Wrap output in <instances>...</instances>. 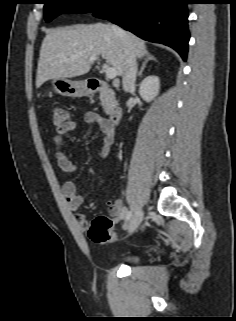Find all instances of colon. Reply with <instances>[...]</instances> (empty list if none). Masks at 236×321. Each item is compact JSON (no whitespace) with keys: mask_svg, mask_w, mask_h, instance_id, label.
Wrapping results in <instances>:
<instances>
[{"mask_svg":"<svg viewBox=\"0 0 236 321\" xmlns=\"http://www.w3.org/2000/svg\"><path fill=\"white\" fill-rule=\"evenodd\" d=\"M53 123L60 126L67 121V112L60 106H54L52 109ZM113 220L110 217L100 215L92 220L87 227L89 238L99 244L114 242L117 234L113 230Z\"/></svg>","mask_w":236,"mask_h":321,"instance_id":"colon-1","label":"colon"}]
</instances>
